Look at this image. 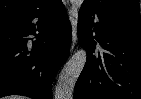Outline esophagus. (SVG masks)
Returning <instances> with one entry per match:
<instances>
[{
	"label": "esophagus",
	"mask_w": 141,
	"mask_h": 99,
	"mask_svg": "<svg viewBox=\"0 0 141 99\" xmlns=\"http://www.w3.org/2000/svg\"><path fill=\"white\" fill-rule=\"evenodd\" d=\"M68 15L69 20L72 26V49L75 46L76 43V33H77V22H78V12L75 6H69L68 7Z\"/></svg>",
	"instance_id": "34e87169"
}]
</instances>
